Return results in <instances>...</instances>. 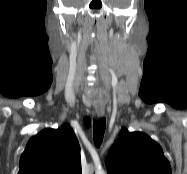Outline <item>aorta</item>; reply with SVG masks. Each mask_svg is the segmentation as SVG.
Wrapping results in <instances>:
<instances>
[{
    "label": "aorta",
    "instance_id": "aorta-1",
    "mask_svg": "<svg viewBox=\"0 0 187 174\" xmlns=\"http://www.w3.org/2000/svg\"><path fill=\"white\" fill-rule=\"evenodd\" d=\"M96 174H106L104 171L100 170V171H97Z\"/></svg>",
    "mask_w": 187,
    "mask_h": 174
}]
</instances>
